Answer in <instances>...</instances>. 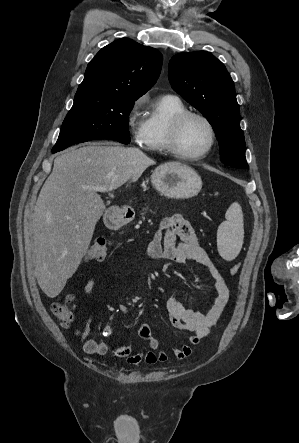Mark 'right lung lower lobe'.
<instances>
[{"instance_id":"98d812e1","label":"right lung lower lobe","mask_w":299,"mask_h":443,"mask_svg":"<svg viewBox=\"0 0 299 443\" xmlns=\"http://www.w3.org/2000/svg\"><path fill=\"white\" fill-rule=\"evenodd\" d=\"M52 152H53V153H56V152H58V150H52Z\"/></svg>"}]
</instances>
